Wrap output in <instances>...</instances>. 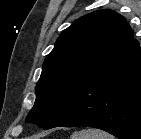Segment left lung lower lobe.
Masks as SVG:
<instances>
[{
	"instance_id": "0a47b994",
	"label": "left lung lower lobe",
	"mask_w": 141,
	"mask_h": 139,
	"mask_svg": "<svg viewBox=\"0 0 141 139\" xmlns=\"http://www.w3.org/2000/svg\"><path fill=\"white\" fill-rule=\"evenodd\" d=\"M89 126L141 139V51L133 39L89 75L44 127Z\"/></svg>"
}]
</instances>
